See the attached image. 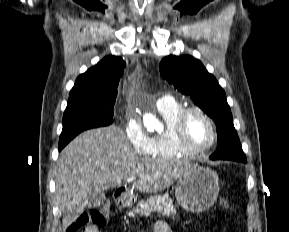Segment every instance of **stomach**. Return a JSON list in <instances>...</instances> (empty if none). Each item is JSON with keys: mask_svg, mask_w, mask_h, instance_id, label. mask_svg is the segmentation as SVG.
<instances>
[{"mask_svg": "<svg viewBox=\"0 0 289 232\" xmlns=\"http://www.w3.org/2000/svg\"><path fill=\"white\" fill-rule=\"evenodd\" d=\"M219 190V178L216 172L199 165H191L189 170L179 178L175 196L183 209L199 213L214 205Z\"/></svg>", "mask_w": 289, "mask_h": 232, "instance_id": "0dacf381", "label": "stomach"}]
</instances>
